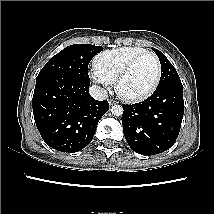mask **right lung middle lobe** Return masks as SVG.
Instances as JSON below:
<instances>
[{"mask_svg":"<svg viewBox=\"0 0 214 214\" xmlns=\"http://www.w3.org/2000/svg\"><path fill=\"white\" fill-rule=\"evenodd\" d=\"M102 50L101 46L91 44L70 45L46 63L38 74L36 81L56 75L89 81L88 64Z\"/></svg>","mask_w":214,"mask_h":214,"instance_id":"right-lung-middle-lobe-1","label":"right lung middle lobe"}]
</instances>
